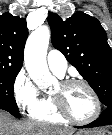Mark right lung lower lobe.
Wrapping results in <instances>:
<instances>
[{"mask_svg":"<svg viewBox=\"0 0 112 135\" xmlns=\"http://www.w3.org/2000/svg\"><path fill=\"white\" fill-rule=\"evenodd\" d=\"M0 109L8 111L9 113H11L15 117H20L19 110L18 111H14V110H11V109L5 108V107H0Z\"/></svg>","mask_w":112,"mask_h":135,"instance_id":"1","label":"right lung lower lobe"}]
</instances>
